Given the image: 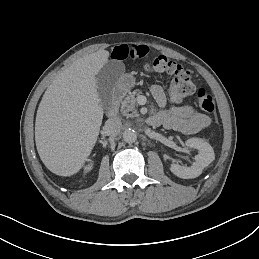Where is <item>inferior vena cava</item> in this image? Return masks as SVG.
<instances>
[{"instance_id": "1", "label": "inferior vena cava", "mask_w": 259, "mask_h": 259, "mask_svg": "<svg viewBox=\"0 0 259 259\" xmlns=\"http://www.w3.org/2000/svg\"><path fill=\"white\" fill-rule=\"evenodd\" d=\"M122 127L123 125L119 117H111L105 123V130L111 135L118 134Z\"/></svg>"}]
</instances>
